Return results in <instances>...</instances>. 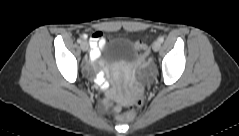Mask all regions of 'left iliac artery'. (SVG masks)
I'll use <instances>...</instances> for the list:
<instances>
[{"instance_id": "1", "label": "left iliac artery", "mask_w": 239, "mask_h": 136, "mask_svg": "<svg viewBox=\"0 0 239 136\" xmlns=\"http://www.w3.org/2000/svg\"><path fill=\"white\" fill-rule=\"evenodd\" d=\"M158 41H159L160 43H162V42L164 41V38H163V37H160V38L158 39Z\"/></svg>"}]
</instances>
